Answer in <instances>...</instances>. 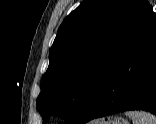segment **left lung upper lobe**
Masks as SVG:
<instances>
[{
  "mask_svg": "<svg viewBox=\"0 0 156 124\" xmlns=\"http://www.w3.org/2000/svg\"><path fill=\"white\" fill-rule=\"evenodd\" d=\"M155 19L146 0H84L62 22L37 110L79 124L116 61Z\"/></svg>",
  "mask_w": 156,
  "mask_h": 124,
  "instance_id": "5c2ea615",
  "label": "left lung upper lobe"
}]
</instances>
